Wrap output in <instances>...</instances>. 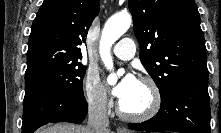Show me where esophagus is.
I'll list each match as a JSON object with an SVG mask.
<instances>
[{"mask_svg":"<svg viewBox=\"0 0 221 133\" xmlns=\"http://www.w3.org/2000/svg\"><path fill=\"white\" fill-rule=\"evenodd\" d=\"M117 133H127V131L124 128L118 127Z\"/></svg>","mask_w":221,"mask_h":133,"instance_id":"34e87169","label":"esophagus"}]
</instances>
